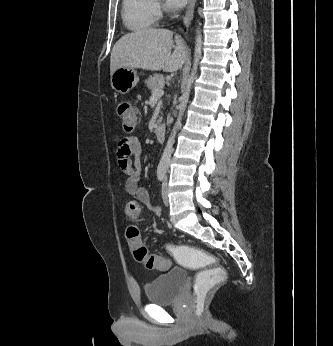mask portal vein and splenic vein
I'll return each instance as SVG.
<instances>
[{
  "label": "portal vein and splenic vein",
  "instance_id": "obj_1",
  "mask_svg": "<svg viewBox=\"0 0 333 346\" xmlns=\"http://www.w3.org/2000/svg\"><path fill=\"white\" fill-rule=\"evenodd\" d=\"M164 95V91L162 88L156 89L152 92V99H159L160 97H162Z\"/></svg>",
  "mask_w": 333,
  "mask_h": 346
}]
</instances>
